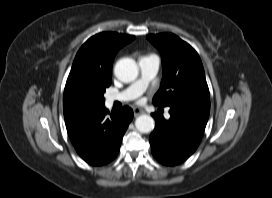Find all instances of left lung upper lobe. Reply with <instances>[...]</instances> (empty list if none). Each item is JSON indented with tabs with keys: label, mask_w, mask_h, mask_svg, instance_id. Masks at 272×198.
Listing matches in <instances>:
<instances>
[{
	"label": "left lung upper lobe",
	"mask_w": 272,
	"mask_h": 198,
	"mask_svg": "<svg viewBox=\"0 0 272 198\" xmlns=\"http://www.w3.org/2000/svg\"><path fill=\"white\" fill-rule=\"evenodd\" d=\"M160 51L163 78L153 98L157 106H184L210 111V95L197 52L172 33L147 35Z\"/></svg>",
	"instance_id": "5c2ea615"
}]
</instances>
